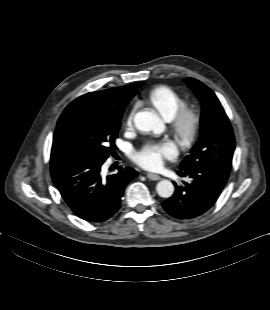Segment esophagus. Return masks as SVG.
Instances as JSON below:
<instances>
[{
	"label": "esophagus",
	"mask_w": 270,
	"mask_h": 310,
	"mask_svg": "<svg viewBox=\"0 0 270 310\" xmlns=\"http://www.w3.org/2000/svg\"><path fill=\"white\" fill-rule=\"evenodd\" d=\"M147 177L153 181H157L161 179V177L158 174H154V173H147Z\"/></svg>",
	"instance_id": "1"
}]
</instances>
